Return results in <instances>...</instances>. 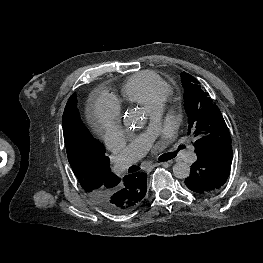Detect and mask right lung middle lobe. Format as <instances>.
Listing matches in <instances>:
<instances>
[{"instance_id":"1","label":"right lung middle lobe","mask_w":263,"mask_h":263,"mask_svg":"<svg viewBox=\"0 0 263 263\" xmlns=\"http://www.w3.org/2000/svg\"><path fill=\"white\" fill-rule=\"evenodd\" d=\"M62 125L70 142L67 152L70 166L82 188L89 194L94 193L101 185L105 169V148L80 120L75 94L66 104Z\"/></svg>"}]
</instances>
